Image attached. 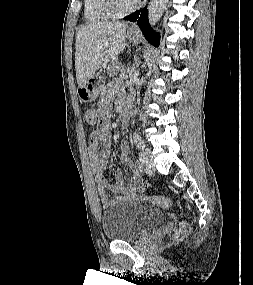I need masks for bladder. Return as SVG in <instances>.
<instances>
[{
	"label": "bladder",
	"instance_id": "obj_1",
	"mask_svg": "<svg viewBox=\"0 0 253 285\" xmlns=\"http://www.w3.org/2000/svg\"><path fill=\"white\" fill-rule=\"evenodd\" d=\"M165 220V213L135 201L116 203L102 214V231L111 241H134Z\"/></svg>",
	"mask_w": 253,
	"mask_h": 285
}]
</instances>
